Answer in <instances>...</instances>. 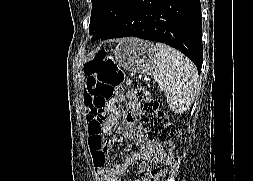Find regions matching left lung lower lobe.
<instances>
[{"mask_svg": "<svg viewBox=\"0 0 253 181\" xmlns=\"http://www.w3.org/2000/svg\"><path fill=\"white\" fill-rule=\"evenodd\" d=\"M126 36L172 46L188 56L201 72L200 0H131L116 23L99 39Z\"/></svg>", "mask_w": 253, "mask_h": 181, "instance_id": "0a47b994", "label": "left lung lower lobe"}]
</instances>
